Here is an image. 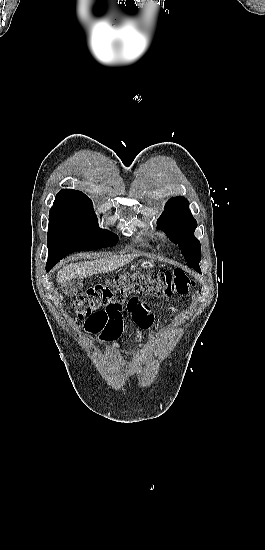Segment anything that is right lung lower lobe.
Returning a JSON list of instances; mask_svg holds the SVG:
<instances>
[{
  "label": "right lung lower lobe",
  "mask_w": 265,
  "mask_h": 550,
  "mask_svg": "<svg viewBox=\"0 0 265 550\" xmlns=\"http://www.w3.org/2000/svg\"><path fill=\"white\" fill-rule=\"evenodd\" d=\"M52 267H53L52 265H47V264H46V271L48 272L49 270L52 269Z\"/></svg>",
  "instance_id": "obj_1"
}]
</instances>
